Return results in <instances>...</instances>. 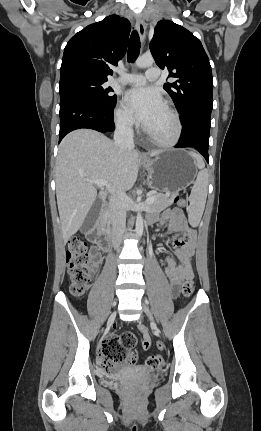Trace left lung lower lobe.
Here are the masks:
<instances>
[{"instance_id":"obj_1","label":"left lung lower lobe","mask_w":261,"mask_h":431,"mask_svg":"<svg viewBox=\"0 0 261 431\" xmlns=\"http://www.w3.org/2000/svg\"><path fill=\"white\" fill-rule=\"evenodd\" d=\"M211 124V111L200 110L194 112L182 121V134L176 148L191 147L199 151L209 162L208 146Z\"/></svg>"}]
</instances>
